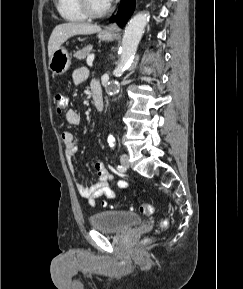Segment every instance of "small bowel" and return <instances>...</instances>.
Listing matches in <instances>:
<instances>
[{"mask_svg":"<svg viewBox=\"0 0 243 289\" xmlns=\"http://www.w3.org/2000/svg\"><path fill=\"white\" fill-rule=\"evenodd\" d=\"M88 75L89 73L86 68H78L74 70L72 74L73 83L75 85L82 84L87 80ZM95 87H99L97 82L92 84V89ZM65 118L70 125H78L80 123L79 114L73 109H68L66 111ZM61 137L65 147L66 157L70 162H72L73 158H75L79 153V146L76 142L75 135L71 131H65L62 133ZM94 168L98 175L96 181L89 185L82 183L77 184V189L80 195L86 199L91 206H95L96 198L102 195H105L110 199H115V194L110 188L111 181H116L117 187L122 190L128 189V182L121 179L115 180L114 175L108 171L102 161H96L94 163Z\"/></svg>","mask_w":243,"mask_h":289,"instance_id":"small-bowel-1","label":"small bowel"}]
</instances>
